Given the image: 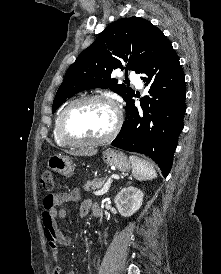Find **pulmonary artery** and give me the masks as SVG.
<instances>
[{
	"label": "pulmonary artery",
	"mask_w": 221,
	"mask_h": 274,
	"mask_svg": "<svg viewBox=\"0 0 221 274\" xmlns=\"http://www.w3.org/2000/svg\"><path fill=\"white\" fill-rule=\"evenodd\" d=\"M129 77L136 84L137 87L142 86V82H141L139 76L136 73H133V72L130 73Z\"/></svg>",
	"instance_id": "obj_1"
}]
</instances>
